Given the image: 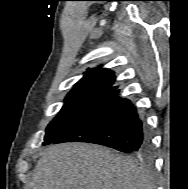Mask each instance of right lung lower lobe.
I'll list each match as a JSON object with an SVG mask.
<instances>
[{
  "instance_id": "obj_1",
  "label": "right lung lower lobe",
  "mask_w": 188,
  "mask_h": 189,
  "mask_svg": "<svg viewBox=\"0 0 188 189\" xmlns=\"http://www.w3.org/2000/svg\"><path fill=\"white\" fill-rule=\"evenodd\" d=\"M118 93L107 94L51 143L88 142L125 153H145L150 146L148 128L137 108Z\"/></svg>"
}]
</instances>
